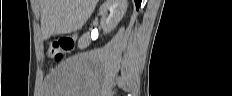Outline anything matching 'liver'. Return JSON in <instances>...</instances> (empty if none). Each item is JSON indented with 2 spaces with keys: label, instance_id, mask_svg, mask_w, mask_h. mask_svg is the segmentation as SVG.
Instances as JSON below:
<instances>
[{
  "label": "liver",
  "instance_id": "6515ba94",
  "mask_svg": "<svg viewBox=\"0 0 232 96\" xmlns=\"http://www.w3.org/2000/svg\"><path fill=\"white\" fill-rule=\"evenodd\" d=\"M98 0H40L42 37L68 34L80 29Z\"/></svg>",
  "mask_w": 232,
  "mask_h": 96
}]
</instances>
